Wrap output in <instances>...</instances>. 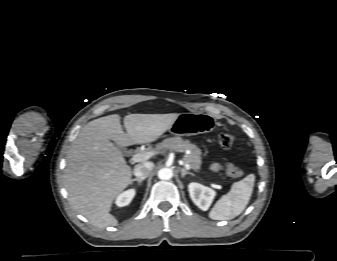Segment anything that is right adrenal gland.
<instances>
[{
  "label": "right adrenal gland",
  "mask_w": 337,
  "mask_h": 261,
  "mask_svg": "<svg viewBox=\"0 0 337 261\" xmlns=\"http://www.w3.org/2000/svg\"><path fill=\"white\" fill-rule=\"evenodd\" d=\"M135 181H137L139 184L141 183V182H143L144 181V179H142V178H135V179H131V182H130V184H132L133 182H135Z\"/></svg>",
  "instance_id": "obj_1"
}]
</instances>
